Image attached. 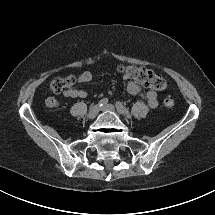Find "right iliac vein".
Instances as JSON below:
<instances>
[{
    "label": "right iliac vein",
    "instance_id": "obj_1",
    "mask_svg": "<svg viewBox=\"0 0 215 215\" xmlns=\"http://www.w3.org/2000/svg\"><path fill=\"white\" fill-rule=\"evenodd\" d=\"M99 112V106L98 104H94L90 107L89 112H88V118L89 119H94Z\"/></svg>",
    "mask_w": 215,
    "mask_h": 215
}]
</instances>
